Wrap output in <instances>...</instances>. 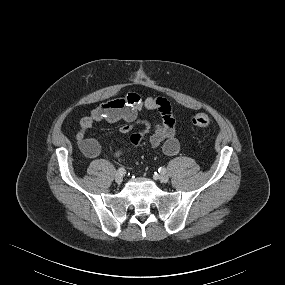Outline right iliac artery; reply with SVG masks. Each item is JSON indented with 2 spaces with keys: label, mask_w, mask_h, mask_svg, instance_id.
Here are the masks:
<instances>
[{
  "label": "right iliac artery",
  "mask_w": 285,
  "mask_h": 285,
  "mask_svg": "<svg viewBox=\"0 0 285 285\" xmlns=\"http://www.w3.org/2000/svg\"><path fill=\"white\" fill-rule=\"evenodd\" d=\"M118 173L121 174V175L124 174L125 173V169L123 167L119 168L118 169Z\"/></svg>",
  "instance_id": "obj_1"
}]
</instances>
